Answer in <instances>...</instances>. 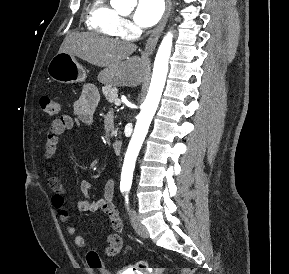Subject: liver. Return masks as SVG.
I'll use <instances>...</instances> for the list:
<instances>
[{
  "mask_svg": "<svg viewBox=\"0 0 289 274\" xmlns=\"http://www.w3.org/2000/svg\"><path fill=\"white\" fill-rule=\"evenodd\" d=\"M137 46L133 43L100 37L94 33L71 32L65 37L59 52H66L104 68L100 82L113 86L135 87L142 81V60L130 57Z\"/></svg>",
  "mask_w": 289,
  "mask_h": 274,
  "instance_id": "liver-1",
  "label": "liver"
}]
</instances>
